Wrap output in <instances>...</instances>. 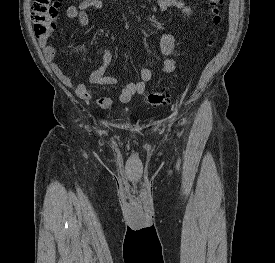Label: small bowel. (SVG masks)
<instances>
[{
  "instance_id": "small-bowel-1",
  "label": "small bowel",
  "mask_w": 275,
  "mask_h": 263,
  "mask_svg": "<svg viewBox=\"0 0 275 263\" xmlns=\"http://www.w3.org/2000/svg\"><path fill=\"white\" fill-rule=\"evenodd\" d=\"M157 7L160 11H166L170 8L180 9L188 18L192 15V10L183 0H157ZM94 9L104 11L106 6L102 0H82L81 2L70 5L66 8L63 17L67 19H75L81 26H87L90 22L88 10ZM175 38L168 32L161 30L159 33L160 51L163 55V60L160 64V71L164 74H171L177 68L176 61L172 58L175 49ZM39 44L43 50L46 61L49 63L51 70L58 79L67 87L73 89L76 94L87 101H95L100 107L108 108L113 103L112 97L98 96L90 87L82 83H74L67 76L60 66L54 62L56 50L49 42V35L39 39ZM102 58L101 66L92 72L88 81L91 84L98 85H115L118 80L116 77L107 76L106 71L110 66L113 55L107 48L99 49ZM155 76V70L149 67H143L139 70V80L129 83L121 89L118 100L121 103H127L134 95H141L145 92L146 85Z\"/></svg>"
}]
</instances>
